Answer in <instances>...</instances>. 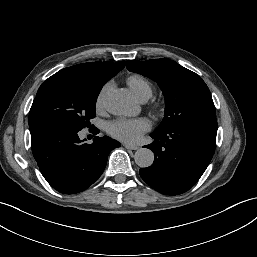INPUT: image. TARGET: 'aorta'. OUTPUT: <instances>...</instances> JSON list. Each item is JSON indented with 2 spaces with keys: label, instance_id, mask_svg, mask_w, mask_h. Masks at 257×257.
Listing matches in <instances>:
<instances>
[{
  "label": "aorta",
  "instance_id": "aorta-1",
  "mask_svg": "<svg viewBox=\"0 0 257 257\" xmlns=\"http://www.w3.org/2000/svg\"><path fill=\"white\" fill-rule=\"evenodd\" d=\"M104 107L115 115H131L136 112V105L130 92L124 88H110L103 93ZM135 163L146 168L153 164L154 154L150 149L140 148L134 155Z\"/></svg>",
  "mask_w": 257,
  "mask_h": 257
}]
</instances>
